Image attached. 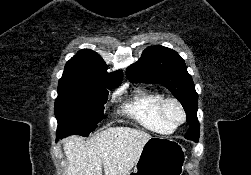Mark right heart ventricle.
Wrapping results in <instances>:
<instances>
[{
    "mask_svg": "<svg viewBox=\"0 0 251 175\" xmlns=\"http://www.w3.org/2000/svg\"><path fill=\"white\" fill-rule=\"evenodd\" d=\"M164 96L153 90L137 88L133 97L123 106V111L144 129L162 135L175 132L159 114V104Z\"/></svg>",
    "mask_w": 251,
    "mask_h": 175,
    "instance_id": "obj_1",
    "label": "right heart ventricle"
}]
</instances>
